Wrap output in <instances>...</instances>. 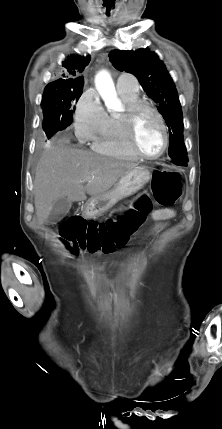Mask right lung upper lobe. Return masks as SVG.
Here are the masks:
<instances>
[{"mask_svg": "<svg viewBox=\"0 0 222 429\" xmlns=\"http://www.w3.org/2000/svg\"><path fill=\"white\" fill-rule=\"evenodd\" d=\"M90 60L91 57L89 55L86 57L78 55L68 56L61 64L59 70L60 78L49 83L46 88L62 90L84 84V79L82 76H79V73L84 70Z\"/></svg>", "mask_w": 222, "mask_h": 429, "instance_id": "1", "label": "right lung upper lobe"}]
</instances>
